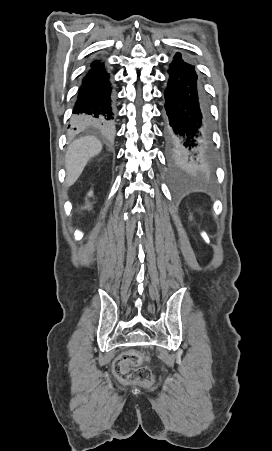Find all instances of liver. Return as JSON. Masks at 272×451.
I'll use <instances>...</instances> for the list:
<instances>
[{"label": "liver", "mask_w": 272, "mask_h": 451, "mask_svg": "<svg viewBox=\"0 0 272 451\" xmlns=\"http://www.w3.org/2000/svg\"><path fill=\"white\" fill-rule=\"evenodd\" d=\"M101 150L102 144L95 136H86V138H80V140L72 142L66 152L65 158L67 172L65 182L67 186H73L75 184L88 160L100 154Z\"/></svg>", "instance_id": "6515ba94"}]
</instances>
